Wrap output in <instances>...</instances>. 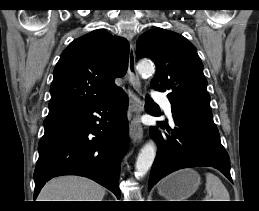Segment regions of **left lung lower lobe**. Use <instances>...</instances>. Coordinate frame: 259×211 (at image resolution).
Returning a JSON list of instances; mask_svg holds the SVG:
<instances>
[{"label":"left lung lower lobe","instance_id":"1","mask_svg":"<svg viewBox=\"0 0 259 211\" xmlns=\"http://www.w3.org/2000/svg\"><path fill=\"white\" fill-rule=\"evenodd\" d=\"M146 111L159 116V109L148 98ZM172 115L176 127L172 130L166 122L150 128V134L157 140V155L152 165L148 183L150 190L166 175L187 167L210 166L220 170L231 182L230 160L220 142L218 129L212 114L172 105Z\"/></svg>","mask_w":259,"mask_h":211}]
</instances>
